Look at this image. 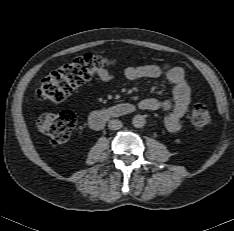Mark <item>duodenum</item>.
I'll list each match as a JSON object with an SVG mask.
<instances>
[{
  "mask_svg": "<svg viewBox=\"0 0 234 231\" xmlns=\"http://www.w3.org/2000/svg\"><path fill=\"white\" fill-rule=\"evenodd\" d=\"M134 111V105L130 103H119L108 108L93 112L90 115L89 122L92 128L100 129L110 119L130 115Z\"/></svg>",
  "mask_w": 234,
  "mask_h": 231,
  "instance_id": "1",
  "label": "duodenum"
}]
</instances>
